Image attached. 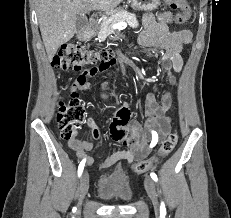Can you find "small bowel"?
I'll list each match as a JSON object with an SVG mask.
<instances>
[{"label": "small bowel", "mask_w": 231, "mask_h": 218, "mask_svg": "<svg viewBox=\"0 0 231 218\" xmlns=\"http://www.w3.org/2000/svg\"><path fill=\"white\" fill-rule=\"evenodd\" d=\"M143 20L145 31L140 35L139 43L144 47L160 48L164 51L159 58V64L170 74V83L175 85L176 79L172 73H180L182 71L183 59L181 51L184 45L190 43L192 34L188 30L170 31L169 25L173 20V15L170 12H163L157 15L146 13ZM113 64V60H103L100 66L78 69L79 75L75 79L73 87L78 90L88 89L90 87L88 77L106 74L107 72L115 73V70L107 71ZM157 95L158 87L154 86L152 92L146 96V129L151 135L153 130L159 132L161 139L170 128V118L166 116V112L172 109V94L171 92L163 93L161 95V103L158 102ZM129 117V107L126 103H123L122 106L117 108L115 117L109 126L111 136L119 143L128 146L129 150L113 153L99 164L100 168H109L120 161H125L129 164L135 159L144 157L153 148L149 146L151 140L149 141L146 136L141 135V128L138 123L128 124ZM90 131L94 139L98 140L100 138L99 130L92 123H90ZM70 146L79 158H82L85 162L87 161L90 165L94 164V159L88 154L93 147L91 142L76 139L70 142Z\"/></svg>", "instance_id": "1"}]
</instances>
